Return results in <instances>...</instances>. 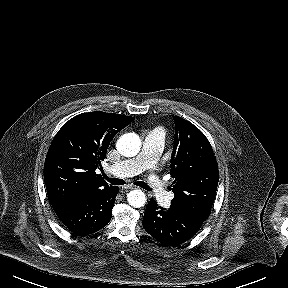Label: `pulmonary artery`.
Listing matches in <instances>:
<instances>
[{
  "label": "pulmonary artery",
  "mask_w": 288,
  "mask_h": 288,
  "mask_svg": "<svg viewBox=\"0 0 288 288\" xmlns=\"http://www.w3.org/2000/svg\"><path fill=\"white\" fill-rule=\"evenodd\" d=\"M164 144V131L161 128L151 130L144 138L141 152L132 159L114 163L110 168L111 173L118 177H128L154 168L162 153ZM147 182L154 192L158 203L168 206L172 199V194L167 189L165 182L154 172L149 174Z\"/></svg>",
  "instance_id": "e3ab8cb5"
}]
</instances>
